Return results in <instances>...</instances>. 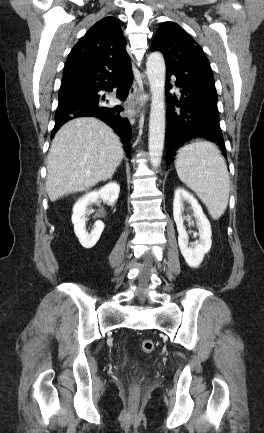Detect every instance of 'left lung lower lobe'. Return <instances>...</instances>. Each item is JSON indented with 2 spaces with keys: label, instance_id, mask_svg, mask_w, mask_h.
Wrapping results in <instances>:
<instances>
[{
  "label": "left lung lower lobe",
  "instance_id": "1",
  "mask_svg": "<svg viewBox=\"0 0 264 433\" xmlns=\"http://www.w3.org/2000/svg\"><path fill=\"white\" fill-rule=\"evenodd\" d=\"M166 71V91L172 87L169 84V78L172 75L176 76L175 85L181 88L178 96L166 95L167 164L172 161L176 149L183 143L196 138L217 143L226 157L225 143L219 124L215 84L186 80L170 70Z\"/></svg>",
  "mask_w": 264,
  "mask_h": 433
}]
</instances>
